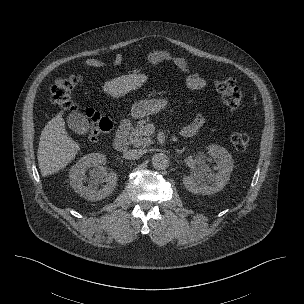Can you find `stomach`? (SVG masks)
<instances>
[{
  "instance_id": "0dacf381",
  "label": "stomach",
  "mask_w": 304,
  "mask_h": 304,
  "mask_svg": "<svg viewBox=\"0 0 304 304\" xmlns=\"http://www.w3.org/2000/svg\"><path fill=\"white\" fill-rule=\"evenodd\" d=\"M168 102L165 99H144L135 102L131 108V116L140 119L148 115L158 113L166 108Z\"/></svg>"
}]
</instances>
